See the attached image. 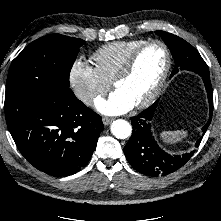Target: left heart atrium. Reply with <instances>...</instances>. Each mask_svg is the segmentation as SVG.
I'll list each match as a JSON object with an SVG mask.
<instances>
[{
    "mask_svg": "<svg viewBox=\"0 0 221 221\" xmlns=\"http://www.w3.org/2000/svg\"><path fill=\"white\" fill-rule=\"evenodd\" d=\"M135 104L119 89H116L107 99H99L97 109L106 115L122 114L132 109Z\"/></svg>",
    "mask_w": 221,
    "mask_h": 221,
    "instance_id": "obj_1",
    "label": "left heart atrium"
}]
</instances>
